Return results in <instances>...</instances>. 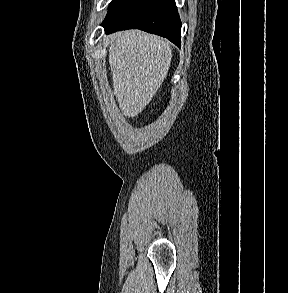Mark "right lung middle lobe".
I'll list each match as a JSON object with an SVG mask.
<instances>
[{"label": "right lung middle lobe", "mask_w": 288, "mask_h": 293, "mask_svg": "<svg viewBox=\"0 0 288 293\" xmlns=\"http://www.w3.org/2000/svg\"><path fill=\"white\" fill-rule=\"evenodd\" d=\"M129 1L130 0H112L109 6L107 16L104 21H107L110 18H112Z\"/></svg>", "instance_id": "1"}]
</instances>
